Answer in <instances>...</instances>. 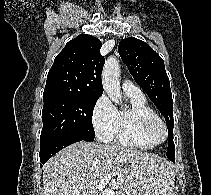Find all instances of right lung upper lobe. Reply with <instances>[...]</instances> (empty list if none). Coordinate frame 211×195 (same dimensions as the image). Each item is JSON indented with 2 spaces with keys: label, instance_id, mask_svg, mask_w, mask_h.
Returning a JSON list of instances; mask_svg holds the SVG:
<instances>
[{
  "label": "right lung upper lobe",
  "instance_id": "obj_1",
  "mask_svg": "<svg viewBox=\"0 0 211 195\" xmlns=\"http://www.w3.org/2000/svg\"><path fill=\"white\" fill-rule=\"evenodd\" d=\"M101 42L90 35L81 34L69 41L56 56L47 75L44 94L65 92L88 97H100L105 63L100 54Z\"/></svg>",
  "mask_w": 211,
  "mask_h": 195
}]
</instances>
